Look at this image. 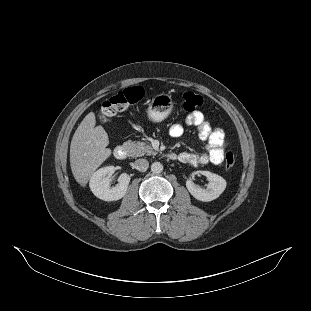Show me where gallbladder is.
Segmentation results:
<instances>
[{
  "label": "gallbladder",
  "instance_id": "bac80fb5",
  "mask_svg": "<svg viewBox=\"0 0 311 311\" xmlns=\"http://www.w3.org/2000/svg\"><path fill=\"white\" fill-rule=\"evenodd\" d=\"M105 121H110V119H105Z\"/></svg>",
  "mask_w": 311,
  "mask_h": 311
}]
</instances>
